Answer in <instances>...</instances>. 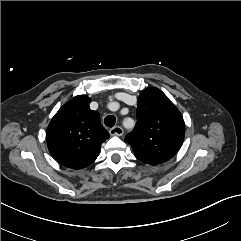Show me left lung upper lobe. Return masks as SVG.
<instances>
[{
    "label": "left lung upper lobe",
    "mask_w": 241,
    "mask_h": 241,
    "mask_svg": "<svg viewBox=\"0 0 241 241\" xmlns=\"http://www.w3.org/2000/svg\"><path fill=\"white\" fill-rule=\"evenodd\" d=\"M183 117L168 97L157 88H147L138 98L137 123L125 137L137 159L157 165L171 159L183 143Z\"/></svg>",
    "instance_id": "left-lung-upper-lobe-1"
}]
</instances>
